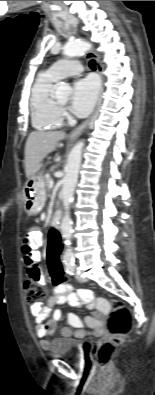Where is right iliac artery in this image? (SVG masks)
Here are the masks:
<instances>
[{"mask_svg": "<svg viewBox=\"0 0 155 395\" xmlns=\"http://www.w3.org/2000/svg\"><path fill=\"white\" fill-rule=\"evenodd\" d=\"M68 259H70V257H69V256H66V257H65V260H68Z\"/></svg>", "mask_w": 155, "mask_h": 395, "instance_id": "obj_1", "label": "right iliac artery"}]
</instances>
